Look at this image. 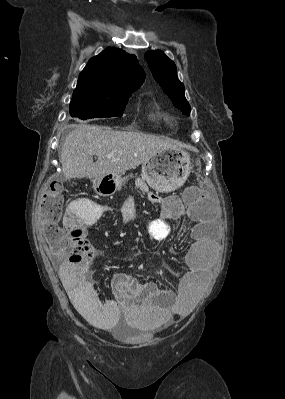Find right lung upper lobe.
<instances>
[{
  "label": "right lung upper lobe",
  "mask_w": 285,
  "mask_h": 399,
  "mask_svg": "<svg viewBox=\"0 0 285 399\" xmlns=\"http://www.w3.org/2000/svg\"><path fill=\"white\" fill-rule=\"evenodd\" d=\"M144 78L145 73L135 55L108 47L88 61L79 75L73 96L109 97L132 93Z\"/></svg>",
  "instance_id": "cb5924a9"
}]
</instances>
